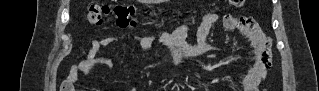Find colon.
<instances>
[{
  "instance_id": "colon-1",
  "label": "colon",
  "mask_w": 319,
  "mask_h": 91,
  "mask_svg": "<svg viewBox=\"0 0 319 91\" xmlns=\"http://www.w3.org/2000/svg\"><path fill=\"white\" fill-rule=\"evenodd\" d=\"M243 0H229L228 3L235 7L243 5ZM136 8L133 5L119 4H93L85 12V21L92 27L104 25L109 18H113L115 24L120 28H133L137 25L135 19ZM252 19V18H250ZM253 20V19H252ZM263 59L267 67L270 66V50L267 46L263 51Z\"/></svg>"
}]
</instances>
